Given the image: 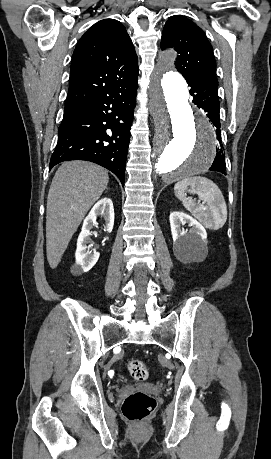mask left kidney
<instances>
[{
	"label": "left kidney",
	"mask_w": 271,
	"mask_h": 459,
	"mask_svg": "<svg viewBox=\"0 0 271 459\" xmlns=\"http://www.w3.org/2000/svg\"><path fill=\"white\" fill-rule=\"evenodd\" d=\"M184 224L192 226L189 233H187V229L182 228ZM170 226L174 249L181 255L198 253L202 241H206L207 233L203 226L188 214H184V212H171Z\"/></svg>",
	"instance_id": "obj_1"
}]
</instances>
